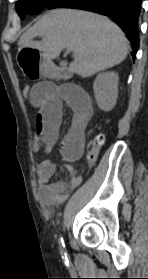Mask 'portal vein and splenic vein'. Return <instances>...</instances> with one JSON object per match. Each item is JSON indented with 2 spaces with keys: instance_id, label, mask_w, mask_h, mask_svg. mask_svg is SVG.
<instances>
[{
  "instance_id": "1",
  "label": "portal vein and splenic vein",
  "mask_w": 148,
  "mask_h": 279,
  "mask_svg": "<svg viewBox=\"0 0 148 279\" xmlns=\"http://www.w3.org/2000/svg\"><path fill=\"white\" fill-rule=\"evenodd\" d=\"M71 51H72V49H70V48L66 49V53H70Z\"/></svg>"
}]
</instances>
